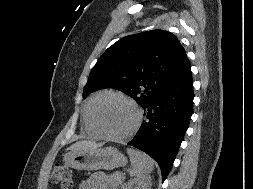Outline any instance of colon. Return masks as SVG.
Segmentation results:
<instances>
[{"mask_svg":"<svg viewBox=\"0 0 253 189\" xmlns=\"http://www.w3.org/2000/svg\"><path fill=\"white\" fill-rule=\"evenodd\" d=\"M51 181L61 185L62 189H73L72 173L63 164H56L52 170Z\"/></svg>","mask_w":253,"mask_h":189,"instance_id":"obj_1","label":"colon"}]
</instances>
